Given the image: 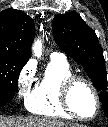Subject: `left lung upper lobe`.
<instances>
[{
  "label": "left lung upper lobe",
  "instance_id": "obj_1",
  "mask_svg": "<svg viewBox=\"0 0 108 127\" xmlns=\"http://www.w3.org/2000/svg\"><path fill=\"white\" fill-rule=\"evenodd\" d=\"M52 30L58 46L83 65L95 88L100 91L99 98L108 116L107 73L96 34L75 11L56 15Z\"/></svg>",
  "mask_w": 108,
  "mask_h": 127
}]
</instances>
